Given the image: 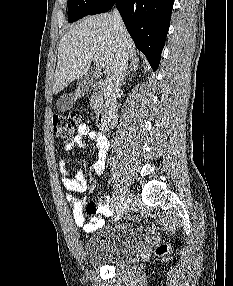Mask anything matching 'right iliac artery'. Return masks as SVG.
<instances>
[{
    "instance_id": "obj_1",
    "label": "right iliac artery",
    "mask_w": 233,
    "mask_h": 286,
    "mask_svg": "<svg viewBox=\"0 0 233 286\" xmlns=\"http://www.w3.org/2000/svg\"><path fill=\"white\" fill-rule=\"evenodd\" d=\"M120 199H121V197L119 196V195H117V194H113V197H112V206L113 207H117V205L119 204V202H120Z\"/></svg>"
}]
</instances>
